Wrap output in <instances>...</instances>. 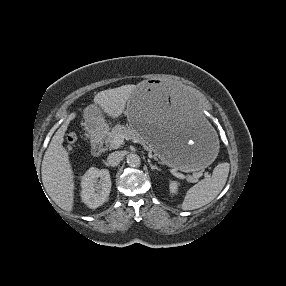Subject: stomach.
I'll use <instances>...</instances> for the list:
<instances>
[{"label": "stomach", "mask_w": 286, "mask_h": 286, "mask_svg": "<svg viewBox=\"0 0 286 286\" xmlns=\"http://www.w3.org/2000/svg\"><path fill=\"white\" fill-rule=\"evenodd\" d=\"M89 133L104 129L110 111L91 103L83 111ZM127 119L166 165L184 172L208 167L216 158L219 138L202 116L198 100L174 82L147 79L136 85L127 102Z\"/></svg>", "instance_id": "0dacf381"}]
</instances>
